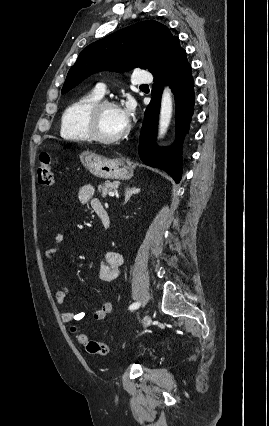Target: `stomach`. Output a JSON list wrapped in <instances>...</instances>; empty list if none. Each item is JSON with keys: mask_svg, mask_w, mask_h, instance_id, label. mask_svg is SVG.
<instances>
[{"mask_svg": "<svg viewBox=\"0 0 269 426\" xmlns=\"http://www.w3.org/2000/svg\"><path fill=\"white\" fill-rule=\"evenodd\" d=\"M80 160L91 174L99 178L128 180L133 176V169L123 158L106 159L85 151L80 154Z\"/></svg>", "mask_w": 269, "mask_h": 426, "instance_id": "stomach-1", "label": "stomach"}]
</instances>
